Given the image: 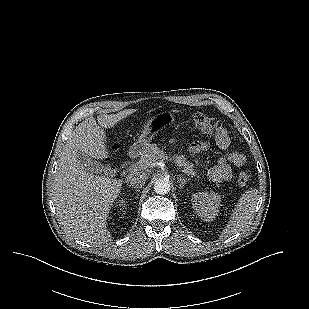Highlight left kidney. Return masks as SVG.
<instances>
[{
    "mask_svg": "<svg viewBox=\"0 0 309 309\" xmlns=\"http://www.w3.org/2000/svg\"><path fill=\"white\" fill-rule=\"evenodd\" d=\"M195 213L204 221H212L218 214L220 196L216 193L199 192L192 195Z\"/></svg>",
    "mask_w": 309,
    "mask_h": 309,
    "instance_id": "1",
    "label": "left kidney"
}]
</instances>
